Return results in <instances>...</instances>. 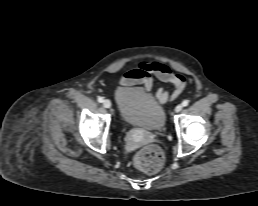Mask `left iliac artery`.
<instances>
[{
  "label": "left iliac artery",
  "instance_id": "obj_1",
  "mask_svg": "<svg viewBox=\"0 0 258 206\" xmlns=\"http://www.w3.org/2000/svg\"><path fill=\"white\" fill-rule=\"evenodd\" d=\"M189 104V102L187 101V100H184L183 102H182V106H187Z\"/></svg>",
  "mask_w": 258,
  "mask_h": 206
}]
</instances>
